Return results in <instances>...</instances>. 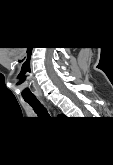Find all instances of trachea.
I'll list each match as a JSON object with an SVG mask.
<instances>
[{
  "label": "trachea",
  "instance_id": "obj_1",
  "mask_svg": "<svg viewBox=\"0 0 113 165\" xmlns=\"http://www.w3.org/2000/svg\"><path fill=\"white\" fill-rule=\"evenodd\" d=\"M27 103L30 104V106L33 107L34 111L42 117L48 116L47 110L43 107V105L37 100L33 99H26L25 100Z\"/></svg>",
  "mask_w": 113,
  "mask_h": 165
}]
</instances>
